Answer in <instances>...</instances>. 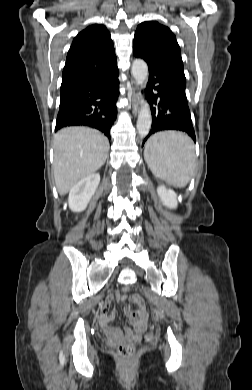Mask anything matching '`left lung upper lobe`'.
Wrapping results in <instances>:
<instances>
[{
    "label": "left lung upper lobe",
    "instance_id": "5c2ea615",
    "mask_svg": "<svg viewBox=\"0 0 252 390\" xmlns=\"http://www.w3.org/2000/svg\"><path fill=\"white\" fill-rule=\"evenodd\" d=\"M133 53L186 82L180 47L171 30L156 21L141 23L135 32Z\"/></svg>",
    "mask_w": 252,
    "mask_h": 390
}]
</instances>
